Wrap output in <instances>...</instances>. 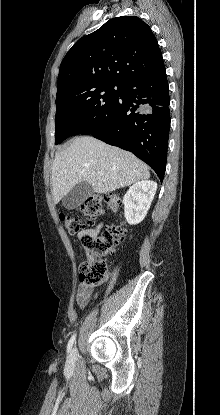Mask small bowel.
Returning <instances> with one entry per match:
<instances>
[{
  "label": "small bowel",
  "instance_id": "1",
  "mask_svg": "<svg viewBox=\"0 0 220 415\" xmlns=\"http://www.w3.org/2000/svg\"><path fill=\"white\" fill-rule=\"evenodd\" d=\"M102 227H103V224H98L95 227L83 229L78 233L77 237L79 240H81L82 237L85 235H92V234H96L100 232ZM94 295H95V291L91 286H87L81 283L77 289L76 298H75L76 303L78 304L80 308H84L85 306H87L90 300L94 297Z\"/></svg>",
  "mask_w": 220,
  "mask_h": 415
}]
</instances>
